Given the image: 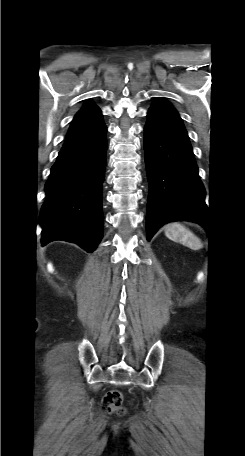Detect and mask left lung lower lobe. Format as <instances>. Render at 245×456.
<instances>
[{"label":"left lung lower lobe","mask_w":245,"mask_h":456,"mask_svg":"<svg viewBox=\"0 0 245 456\" xmlns=\"http://www.w3.org/2000/svg\"><path fill=\"white\" fill-rule=\"evenodd\" d=\"M144 127L149 182L147 240L165 223H202L205 188L198 174L189 137L177 111L164 99L150 107Z\"/></svg>","instance_id":"1"}]
</instances>
